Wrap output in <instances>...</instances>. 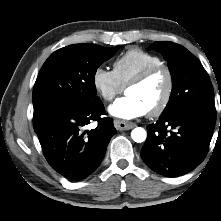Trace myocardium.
Returning a JSON list of instances; mask_svg holds the SVG:
<instances>
[{
	"label": "myocardium",
	"mask_w": 221,
	"mask_h": 221,
	"mask_svg": "<svg viewBox=\"0 0 221 221\" xmlns=\"http://www.w3.org/2000/svg\"><path fill=\"white\" fill-rule=\"evenodd\" d=\"M158 72L165 73L167 84H166V89L164 91L163 97L160 100V102L154 108L148 111L149 115L154 116V117L162 114L170 103L173 90H174V76H173L171 69L167 65H164V64L150 66L144 69L143 71H141L139 74H137L126 85V90L130 87L140 85Z\"/></svg>",
	"instance_id": "obj_1"
}]
</instances>
